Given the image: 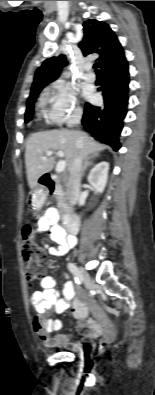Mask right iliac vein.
Listing matches in <instances>:
<instances>
[{
  "instance_id": "obj_1",
  "label": "right iliac vein",
  "mask_w": 155,
  "mask_h": 395,
  "mask_svg": "<svg viewBox=\"0 0 155 395\" xmlns=\"http://www.w3.org/2000/svg\"><path fill=\"white\" fill-rule=\"evenodd\" d=\"M79 272L82 276V282L85 284L86 288L91 289L92 283L89 274L82 267H79Z\"/></svg>"
}]
</instances>
